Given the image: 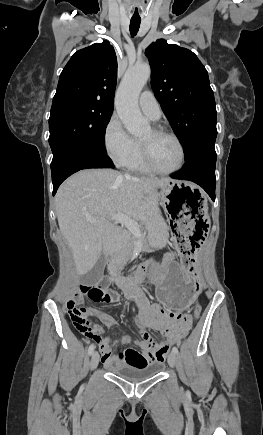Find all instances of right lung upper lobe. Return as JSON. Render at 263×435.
Returning a JSON list of instances; mask_svg holds the SVG:
<instances>
[{"mask_svg":"<svg viewBox=\"0 0 263 435\" xmlns=\"http://www.w3.org/2000/svg\"><path fill=\"white\" fill-rule=\"evenodd\" d=\"M117 58L108 41L96 43L73 54L59 77L52 106L94 102L114 106Z\"/></svg>","mask_w":263,"mask_h":435,"instance_id":"obj_1","label":"right lung upper lobe"}]
</instances>
